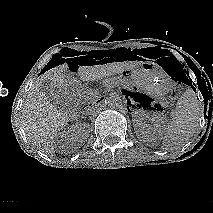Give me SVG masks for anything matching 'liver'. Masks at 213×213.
Listing matches in <instances>:
<instances>
[{
  "label": "liver",
  "mask_w": 213,
  "mask_h": 213,
  "mask_svg": "<svg viewBox=\"0 0 213 213\" xmlns=\"http://www.w3.org/2000/svg\"><path fill=\"white\" fill-rule=\"evenodd\" d=\"M141 62L127 61L106 65L83 66L78 69L82 81H94L115 73L131 69ZM68 64H61L51 68L41 75L28 92L22 107V126L27 138L32 145L47 155L54 154L53 139L58 131L63 129L70 119H75L76 114L62 111L52 104L42 90L44 80L51 81L59 89L65 91L73 84L67 74Z\"/></svg>",
  "instance_id": "liver-1"
}]
</instances>
